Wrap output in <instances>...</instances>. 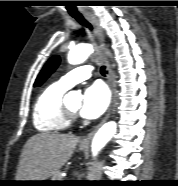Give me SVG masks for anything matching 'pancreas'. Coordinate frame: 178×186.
<instances>
[{"label":"pancreas","instance_id":"1","mask_svg":"<svg viewBox=\"0 0 178 186\" xmlns=\"http://www.w3.org/2000/svg\"><path fill=\"white\" fill-rule=\"evenodd\" d=\"M53 181H61L62 180V176H61V174L58 172V173H55L54 175H53V179H52Z\"/></svg>","mask_w":178,"mask_h":186}]
</instances>
